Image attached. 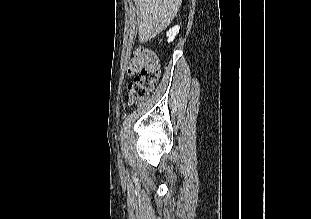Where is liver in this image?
Returning a JSON list of instances; mask_svg holds the SVG:
<instances>
[{
	"mask_svg": "<svg viewBox=\"0 0 311 219\" xmlns=\"http://www.w3.org/2000/svg\"><path fill=\"white\" fill-rule=\"evenodd\" d=\"M135 3L138 7L139 41L144 43L170 25L182 0H135Z\"/></svg>",
	"mask_w": 311,
	"mask_h": 219,
	"instance_id": "liver-1",
	"label": "liver"
}]
</instances>
